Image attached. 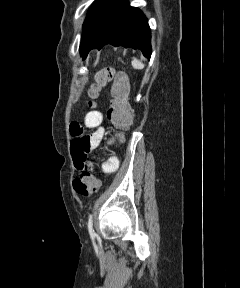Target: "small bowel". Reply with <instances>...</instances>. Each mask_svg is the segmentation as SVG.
Here are the masks:
<instances>
[{"label":"small bowel","mask_w":240,"mask_h":288,"mask_svg":"<svg viewBox=\"0 0 240 288\" xmlns=\"http://www.w3.org/2000/svg\"><path fill=\"white\" fill-rule=\"evenodd\" d=\"M103 119L101 111L91 110L86 113L82 123L72 122L70 124L71 154L77 170L82 171L85 168L88 163V154L103 141L105 136ZM86 129H92L93 132L86 134ZM118 165V159L113 156L102 164V170L105 173H111L117 170Z\"/></svg>","instance_id":"1"}]
</instances>
